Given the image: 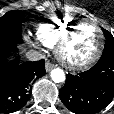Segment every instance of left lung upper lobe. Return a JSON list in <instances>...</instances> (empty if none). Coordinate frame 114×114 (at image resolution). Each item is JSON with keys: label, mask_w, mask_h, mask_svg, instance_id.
<instances>
[{"label": "left lung upper lobe", "mask_w": 114, "mask_h": 114, "mask_svg": "<svg viewBox=\"0 0 114 114\" xmlns=\"http://www.w3.org/2000/svg\"><path fill=\"white\" fill-rule=\"evenodd\" d=\"M106 43L101 57H114V37L111 33L103 29Z\"/></svg>", "instance_id": "left-lung-upper-lobe-1"}]
</instances>
